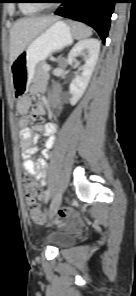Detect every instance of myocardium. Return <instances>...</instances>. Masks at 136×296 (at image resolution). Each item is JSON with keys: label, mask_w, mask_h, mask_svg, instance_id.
I'll use <instances>...</instances> for the list:
<instances>
[{"label": "myocardium", "mask_w": 136, "mask_h": 296, "mask_svg": "<svg viewBox=\"0 0 136 296\" xmlns=\"http://www.w3.org/2000/svg\"><path fill=\"white\" fill-rule=\"evenodd\" d=\"M35 1V5L38 7V8H46L49 6L48 3H45L46 0H33Z\"/></svg>", "instance_id": "f54148a6"}]
</instances>
